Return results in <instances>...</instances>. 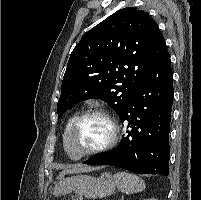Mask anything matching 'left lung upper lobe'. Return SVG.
Here are the masks:
<instances>
[{"mask_svg":"<svg viewBox=\"0 0 201 200\" xmlns=\"http://www.w3.org/2000/svg\"><path fill=\"white\" fill-rule=\"evenodd\" d=\"M167 52L156 22L123 8L88 31L72 51L57 104L58 118L87 99L107 102L118 115Z\"/></svg>","mask_w":201,"mask_h":200,"instance_id":"5c2ea615","label":"left lung upper lobe"}]
</instances>
